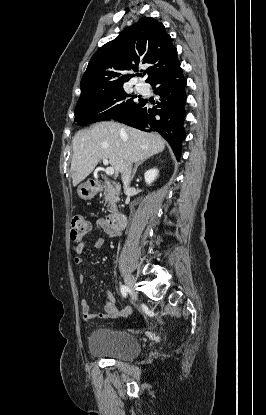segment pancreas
<instances>
[{"label": "pancreas", "instance_id": "1", "mask_svg": "<svg viewBox=\"0 0 266 415\" xmlns=\"http://www.w3.org/2000/svg\"><path fill=\"white\" fill-rule=\"evenodd\" d=\"M104 193L103 197L105 199V202L107 203L108 211L112 213L117 212L116 203L119 200V190L117 187H114L109 182H105L104 184Z\"/></svg>", "mask_w": 266, "mask_h": 415}]
</instances>
